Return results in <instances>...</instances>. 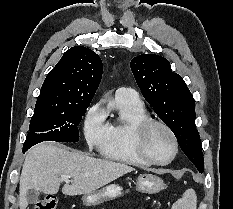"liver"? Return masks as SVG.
<instances>
[{
	"label": "liver",
	"mask_w": 233,
	"mask_h": 209,
	"mask_svg": "<svg viewBox=\"0 0 233 209\" xmlns=\"http://www.w3.org/2000/svg\"><path fill=\"white\" fill-rule=\"evenodd\" d=\"M134 171L127 164L87 156L79 151L51 143H41L31 148L24 160L19 184V208L26 209L28 190L37 194H56L60 176L73 180L66 183L62 193L68 196L88 194L117 178Z\"/></svg>",
	"instance_id": "liver-1"
}]
</instances>
